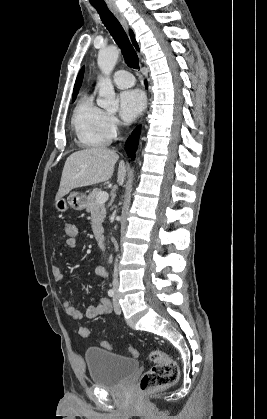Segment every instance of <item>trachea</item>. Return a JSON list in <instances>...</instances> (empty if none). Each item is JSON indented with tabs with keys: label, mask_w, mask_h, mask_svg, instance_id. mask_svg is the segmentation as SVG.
Returning a JSON list of instances; mask_svg holds the SVG:
<instances>
[{
	"label": "trachea",
	"mask_w": 267,
	"mask_h": 419,
	"mask_svg": "<svg viewBox=\"0 0 267 419\" xmlns=\"http://www.w3.org/2000/svg\"><path fill=\"white\" fill-rule=\"evenodd\" d=\"M94 7L100 15L103 24L121 49L126 64L133 69H138L139 58L120 22L108 9V7Z\"/></svg>",
	"instance_id": "3493384b"
}]
</instances>
